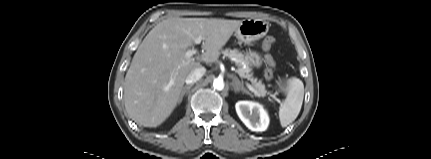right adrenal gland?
<instances>
[{
  "mask_svg": "<svg viewBox=\"0 0 431 159\" xmlns=\"http://www.w3.org/2000/svg\"><path fill=\"white\" fill-rule=\"evenodd\" d=\"M192 86H193V84L183 87L179 101H178L179 104L182 102L184 95L187 94V92L191 89Z\"/></svg>",
  "mask_w": 431,
  "mask_h": 159,
  "instance_id": "2a0ac1e0",
  "label": "right adrenal gland"
}]
</instances>
